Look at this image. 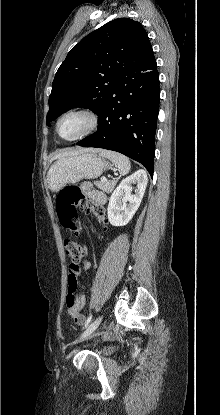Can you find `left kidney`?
Instances as JSON below:
<instances>
[{
	"mask_svg": "<svg viewBox=\"0 0 220 415\" xmlns=\"http://www.w3.org/2000/svg\"><path fill=\"white\" fill-rule=\"evenodd\" d=\"M147 182V174L142 169L121 181L109 200L107 213L111 225L124 226L132 219L140 206ZM132 184H137L135 194L131 193Z\"/></svg>",
	"mask_w": 220,
	"mask_h": 415,
	"instance_id": "obj_1",
	"label": "left kidney"
}]
</instances>
